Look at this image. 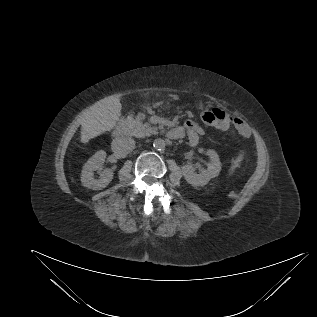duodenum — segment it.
I'll list each match as a JSON object with an SVG mask.
<instances>
[{"label":"duodenum","mask_w":317,"mask_h":317,"mask_svg":"<svg viewBox=\"0 0 317 317\" xmlns=\"http://www.w3.org/2000/svg\"><path fill=\"white\" fill-rule=\"evenodd\" d=\"M127 131H128V122L126 119H122L114 128L113 134H114V137L117 138V137L126 135ZM172 135H173V131H170L168 133V136L172 138Z\"/></svg>","instance_id":"410a0bca"}]
</instances>
